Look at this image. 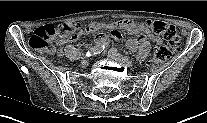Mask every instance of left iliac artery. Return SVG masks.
<instances>
[{
    "label": "left iliac artery",
    "mask_w": 207,
    "mask_h": 123,
    "mask_svg": "<svg viewBox=\"0 0 207 123\" xmlns=\"http://www.w3.org/2000/svg\"><path fill=\"white\" fill-rule=\"evenodd\" d=\"M110 53L120 56V54L118 53V50L116 48H111L110 49ZM126 58L130 59V57H128V56H126Z\"/></svg>",
    "instance_id": "obj_1"
}]
</instances>
